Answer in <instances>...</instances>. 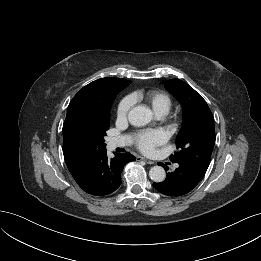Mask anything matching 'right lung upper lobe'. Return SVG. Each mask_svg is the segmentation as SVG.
<instances>
[{"instance_id": "1", "label": "right lung upper lobe", "mask_w": 261, "mask_h": 261, "mask_svg": "<svg viewBox=\"0 0 261 261\" xmlns=\"http://www.w3.org/2000/svg\"><path fill=\"white\" fill-rule=\"evenodd\" d=\"M127 82L120 78H101L83 87L71 100L63 124V154L69 171L92 157L75 146L72 138L74 126L106 107L115 91Z\"/></svg>"}]
</instances>
